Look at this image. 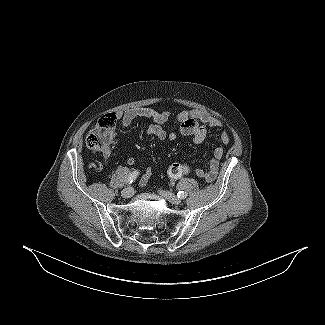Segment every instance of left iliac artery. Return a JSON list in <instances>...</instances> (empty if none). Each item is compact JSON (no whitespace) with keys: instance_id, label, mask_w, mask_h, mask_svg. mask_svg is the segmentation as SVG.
I'll list each match as a JSON object with an SVG mask.
<instances>
[{"instance_id":"44dca946","label":"left iliac artery","mask_w":325,"mask_h":325,"mask_svg":"<svg viewBox=\"0 0 325 325\" xmlns=\"http://www.w3.org/2000/svg\"><path fill=\"white\" fill-rule=\"evenodd\" d=\"M177 196H178V198H180V199H185V198L187 197V192L179 191V192L177 193Z\"/></svg>"}]
</instances>
